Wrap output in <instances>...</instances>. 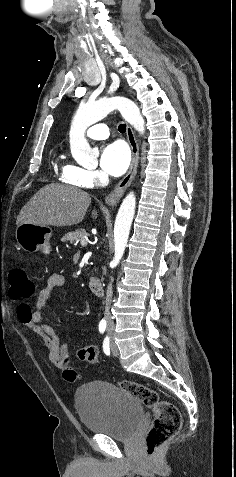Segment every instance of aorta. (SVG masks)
Returning <instances> with one entry per match:
<instances>
[{
    "instance_id": "aorta-1",
    "label": "aorta",
    "mask_w": 236,
    "mask_h": 477,
    "mask_svg": "<svg viewBox=\"0 0 236 477\" xmlns=\"http://www.w3.org/2000/svg\"><path fill=\"white\" fill-rule=\"evenodd\" d=\"M119 110L122 117L140 134L145 132V121L139 107L125 97L102 98L96 102L82 104L72 121L70 130V149L73 157L82 163L95 161L98 150L91 148L85 138L86 129L106 117L111 111ZM136 198L130 192L123 200L114 225L115 254L112 260L117 265L125 251L129 238L131 224L135 214Z\"/></svg>"
}]
</instances>
